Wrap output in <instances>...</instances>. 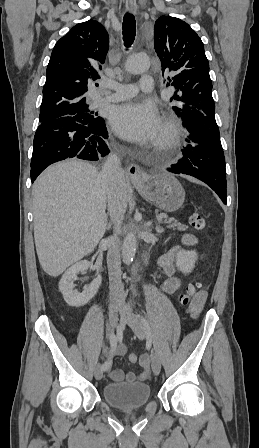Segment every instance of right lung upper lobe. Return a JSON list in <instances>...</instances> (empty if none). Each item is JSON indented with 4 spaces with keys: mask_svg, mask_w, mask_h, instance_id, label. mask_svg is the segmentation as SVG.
Here are the masks:
<instances>
[{
    "mask_svg": "<svg viewBox=\"0 0 259 448\" xmlns=\"http://www.w3.org/2000/svg\"><path fill=\"white\" fill-rule=\"evenodd\" d=\"M109 49V37L96 20L75 25L51 53L40 114L86 104L88 81L99 79Z\"/></svg>",
    "mask_w": 259,
    "mask_h": 448,
    "instance_id": "right-lung-upper-lobe-1",
    "label": "right lung upper lobe"
}]
</instances>
